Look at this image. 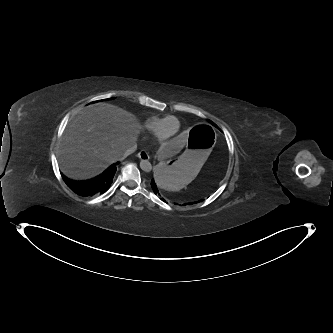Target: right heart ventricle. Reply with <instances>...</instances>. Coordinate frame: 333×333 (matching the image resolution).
I'll use <instances>...</instances> for the list:
<instances>
[{
	"label": "right heart ventricle",
	"instance_id": "right-heart-ventricle-1",
	"mask_svg": "<svg viewBox=\"0 0 333 333\" xmlns=\"http://www.w3.org/2000/svg\"><path fill=\"white\" fill-rule=\"evenodd\" d=\"M168 116H170V115L151 116V117L147 118L142 124L143 130L148 132V133H152V134L156 133L159 130L163 120ZM175 120L177 122V127L180 128L179 119L175 118Z\"/></svg>",
	"mask_w": 333,
	"mask_h": 333
}]
</instances>
